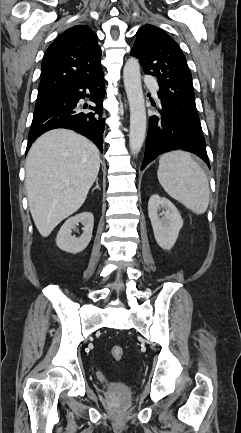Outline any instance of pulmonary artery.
<instances>
[{
  "label": "pulmonary artery",
  "instance_id": "1",
  "mask_svg": "<svg viewBox=\"0 0 241 433\" xmlns=\"http://www.w3.org/2000/svg\"><path fill=\"white\" fill-rule=\"evenodd\" d=\"M145 82H146L147 84H151V83L154 82V80H153L150 76H147V77L145 78ZM154 90L156 91V89H154Z\"/></svg>",
  "mask_w": 241,
  "mask_h": 433
}]
</instances>
